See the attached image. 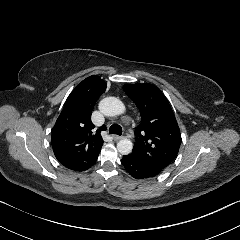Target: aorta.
Instances as JSON below:
<instances>
[{"label":"aorta","mask_w":240,"mask_h":240,"mask_svg":"<svg viewBox=\"0 0 240 240\" xmlns=\"http://www.w3.org/2000/svg\"><path fill=\"white\" fill-rule=\"evenodd\" d=\"M99 110L105 116H121L126 113V106L116 97H106L101 100ZM117 149L121 154L127 155L133 149V142L128 138H123L117 143Z\"/></svg>","instance_id":"1"}]
</instances>
